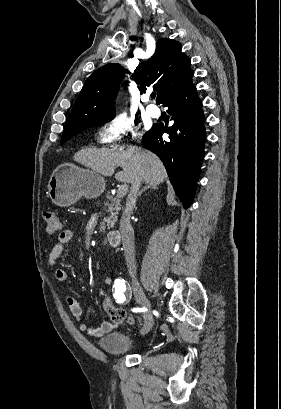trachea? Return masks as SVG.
<instances>
[{"mask_svg": "<svg viewBox=\"0 0 281 409\" xmlns=\"http://www.w3.org/2000/svg\"><path fill=\"white\" fill-rule=\"evenodd\" d=\"M155 97H156V93L153 92V93L151 94V98H155Z\"/></svg>", "mask_w": 281, "mask_h": 409, "instance_id": "3493384b", "label": "trachea"}]
</instances>
